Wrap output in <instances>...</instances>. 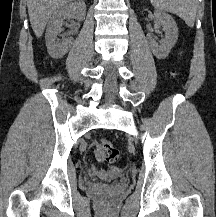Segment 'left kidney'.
<instances>
[{
  "label": "left kidney",
  "mask_w": 216,
  "mask_h": 217,
  "mask_svg": "<svg viewBox=\"0 0 216 217\" xmlns=\"http://www.w3.org/2000/svg\"><path fill=\"white\" fill-rule=\"evenodd\" d=\"M154 18L155 22L162 26L165 37L160 45L150 35L147 37V40L155 57L164 59L168 56L178 39V28L174 19L165 12L154 11Z\"/></svg>",
  "instance_id": "obj_1"
}]
</instances>
